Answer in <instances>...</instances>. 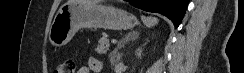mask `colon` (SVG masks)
I'll return each instance as SVG.
<instances>
[{
    "label": "colon",
    "instance_id": "5ec220e1",
    "mask_svg": "<svg viewBox=\"0 0 244 73\" xmlns=\"http://www.w3.org/2000/svg\"><path fill=\"white\" fill-rule=\"evenodd\" d=\"M75 67H76L75 60L72 58H69V59H66L65 61L61 62L57 66L55 73H74Z\"/></svg>",
    "mask_w": 244,
    "mask_h": 73
}]
</instances>
